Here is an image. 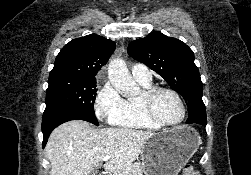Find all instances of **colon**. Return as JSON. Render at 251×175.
<instances>
[{
	"mask_svg": "<svg viewBox=\"0 0 251 175\" xmlns=\"http://www.w3.org/2000/svg\"><path fill=\"white\" fill-rule=\"evenodd\" d=\"M182 175H200V173L192 166H185L182 170Z\"/></svg>",
	"mask_w": 251,
	"mask_h": 175,
	"instance_id": "colon-1",
	"label": "colon"
}]
</instances>
